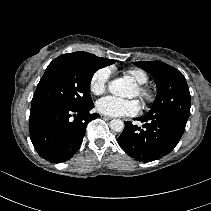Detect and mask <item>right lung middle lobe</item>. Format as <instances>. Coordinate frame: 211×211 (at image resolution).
I'll use <instances>...</instances> for the list:
<instances>
[{"instance_id": "dd1d6c3e", "label": "right lung middle lobe", "mask_w": 211, "mask_h": 211, "mask_svg": "<svg viewBox=\"0 0 211 211\" xmlns=\"http://www.w3.org/2000/svg\"><path fill=\"white\" fill-rule=\"evenodd\" d=\"M109 64L90 53H67L57 57L48 65L38 83L31 107L56 105L81 109L89 106L93 103L90 96L92 76Z\"/></svg>"}]
</instances>
